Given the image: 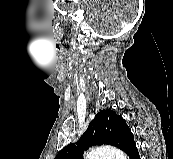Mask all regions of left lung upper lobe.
Returning a JSON list of instances; mask_svg holds the SVG:
<instances>
[{
    "label": "left lung upper lobe",
    "instance_id": "obj_1",
    "mask_svg": "<svg viewBox=\"0 0 173 159\" xmlns=\"http://www.w3.org/2000/svg\"><path fill=\"white\" fill-rule=\"evenodd\" d=\"M103 144L115 146L125 153L135 145L128 125L111 109L98 112L79 141L64 147L55 159H83V152L90 146Z\"/></svg>",
    "mask_w": 173,
    "mask_h": 159
}]
</instances>
